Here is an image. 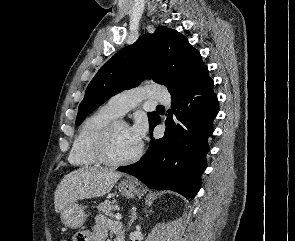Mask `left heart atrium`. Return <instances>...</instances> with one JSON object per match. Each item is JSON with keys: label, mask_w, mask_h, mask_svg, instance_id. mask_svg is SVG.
<instances>
[{"label": "left heart atrium", "mask_w": 295, "mask_h": 241, "mask_svg": "<svg viewBox=\"0 0 295 241\" xmlns=\"http://www.w3.org/2000/svg\"><path fill=\"white\" fill-rule=\"evenodd\" d=\"M147 130L146 122L143 119H138L136 122L129 127V132L132 138L137 142L141 143Z\"/></svg>", "instance_id": "39dd6f15"}]
</instances>
